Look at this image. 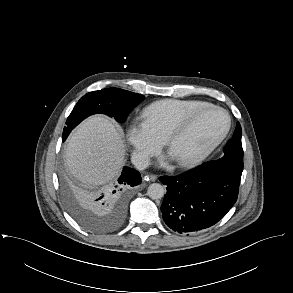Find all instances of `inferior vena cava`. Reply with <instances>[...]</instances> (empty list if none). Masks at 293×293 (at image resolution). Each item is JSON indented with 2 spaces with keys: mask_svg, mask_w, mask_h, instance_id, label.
Returning <instances> with one entry per match:
<instances>
[{
  "mask_svg": "<svg viewBox=\"0 0 293 293\" xmlns=\"http://www.w3.org/2000/svg\"><path fill=\"white\" fill-rule=\"evenodd\" d=\"M131 162L138 170H144L149 166L150 159L146 154L133 152Z\"/></svg>",
  "mask_w": 293,
  "mask_h": 293,
  "instance_id": "inferior-vena-cava-1",
  "label": "inferior vena cava"
}]
</instances>
